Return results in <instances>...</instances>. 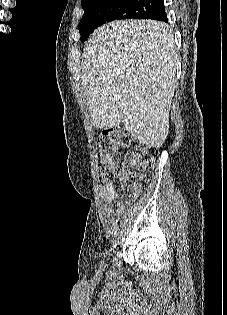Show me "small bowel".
I'll return each mask as SVG.
<instances>
[{"label": "small bowel", "instance_id": "c3829d8e", "mask_svg": "<svg viewBox=\"0 0 227 315\" xmlns=\"http://www.w3.org/2000/svg\"><path fill=\"white\" fill-rule=\"evenodd\" d=\"M122 187H126V184L123 180L119 181ZM138 187H131L132 196L131 198H135ZM101 195L104 199V206H103V224L107 229H111L113 225L120 219L122 216L126 204L128 201H117V192L115 190L114 185H106L100 187ZM114 204V207L112 205Z\"/></svg>", "mask_w": 227, "mask_h": 315}]
</instances>
